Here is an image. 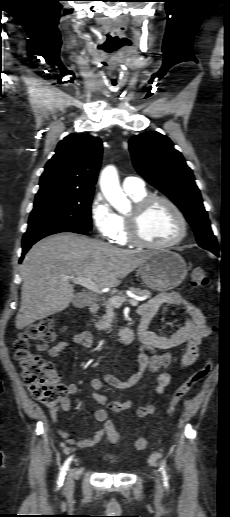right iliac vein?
<instances>
[{"label": "right iliac vein", "mask_w": 230, "mask_h": 517, "mask_svg": "<svg viewBox=\"0 0 230 517\" xmlns=\"http://www.w3.org/2000/svg\"><path fill=\"white\" fill-rule=\"evenodd\" d=\"M75 475L76 474H75L74 470H71L67 476L65 490L68 492L72 491V489H73Z\"/></svg>", "instance_id": "obj_1"}]
</instances>
